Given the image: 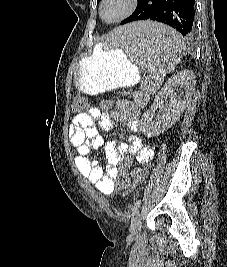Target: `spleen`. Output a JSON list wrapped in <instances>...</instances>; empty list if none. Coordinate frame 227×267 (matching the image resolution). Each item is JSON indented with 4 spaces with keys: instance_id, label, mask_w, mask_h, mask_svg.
I'll return each instance as SVG.
<instances>
[{
    "instance_id": "3e777b00",
    "label": "spleen",
    "mask_w": 227,
    "mask_h": 267,
    "mask_svg": "<svg viewBox=\"0 0 227 267\" xmlns=\"http://www.w3.org/2000/svg\"><path fill=\"white\" fill-rule=\"evenodd\" d=\"M117 33L100 36L96 47H110L119 55H129V59H140L151 76H143V81L156 87L164 77H172V69L180 61L186 50V43L166 22L157 19H133L116 25Z\"/></svg>"
}]
</instances>
